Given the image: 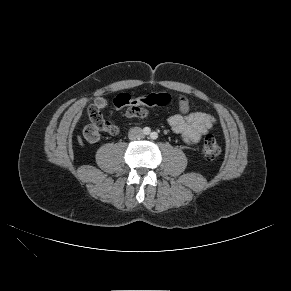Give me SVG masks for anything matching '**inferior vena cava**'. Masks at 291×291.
Returning <instances> with one entry per match:
<instances>
[{"mask_svg":"<svg viewBox=\"0 0 291 291\" xmlns=\"http://www.w3.org/2000/svg\"><path fill=\"white\" fill-rule=\"evenodd\" d=\"M128 137L130 140H138L144 137L143 131L140 127H134L130 129L128 133Z\"/></svg>","mask_w":291,"mask_h":291,"instance_id":"1","label":"inferior vena cava"}]
</instances>
